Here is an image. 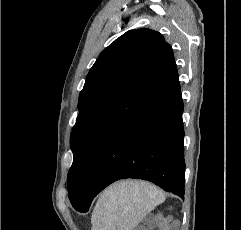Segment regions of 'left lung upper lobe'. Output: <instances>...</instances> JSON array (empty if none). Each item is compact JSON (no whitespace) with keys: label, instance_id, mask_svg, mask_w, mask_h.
<instances>
[{"label":"left lung upper lobe","instance_id":"1","mask_svg":"<svg viewBox=\"0 0 241 230\" xmlns=\"http://www.w3.org/2000/svg\"><path fill=\"white\" fill-rule=\"evenodd\" d=\"M176 72L171 46L150 29L129 30L100 53L80 93V113L71 132L74 161L67 188L72 205L80 202L106 142Z\"/></svg>","mask_w":241,"mask_h":230}]
</instances>
